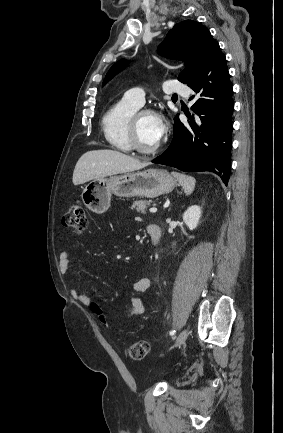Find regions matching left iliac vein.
I'll use <instances>...</instances> for the list:
<instances>
[{"label": "left iliac vein", "mask_w": 283, "mask_h": 433, "mask_svg": "<svg viewBox=\"0 0 283 433\" xmlns=\"http://www.w3.org/2000/svg\"><path fill=\"white\" fill-rule=\"evenodd\" d=\"M187 337H188V331L186 329L182 330L181 333L178 335L174 346L180 347L181 345H183V343H185Z\"/></svg>", "instance_id": "left-iliac-vein-1"}]
</instances>
